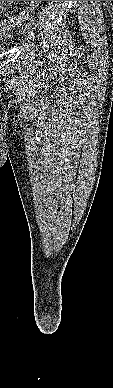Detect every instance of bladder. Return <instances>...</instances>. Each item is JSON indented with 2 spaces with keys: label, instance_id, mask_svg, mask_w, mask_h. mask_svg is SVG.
Listing matches in <instances>:
<instances>
[{
  "label": "bladder",
  "instance_id": "bladder-1",
  "mask_svg": "<svg viewBox=\"0 0 113 388\" xmlns=\"http://www.w3.org/2000/svg\"><path fill=\"white\" fill-rule=\"evenodd\" d=\"M3 36L4 35L2 33H0L1 40H2ZM5 49H6V46L2 42H0V54L3 53L5 51Z\"/></svg>",
  "mask_w": 113,
  "mask_h": 388
}]
</instances>
